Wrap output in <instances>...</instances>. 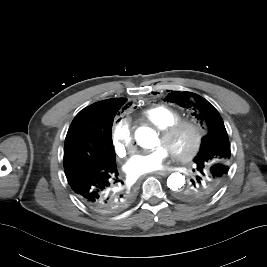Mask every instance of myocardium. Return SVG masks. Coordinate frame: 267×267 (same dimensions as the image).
I'll return each instance as SVG.
<instances>
[{"instance_id": "f54148a6", "label": "myocardium", "mask_w": 267, "mask_h": 267, "mask_svg": "<svg viewBox=\"0 0 267 267\" xmlns=\"http://www.w3.org/2000/svg\"><path fill=\"white\" fill-rule=\"evenodd\" d=\"M189 128L193 132L192 143L185 152L171 149L170 153L178 160L186 162L191 160L200 150L204 132L202 128L193 120L190 119H178L171 124L160 129V137L163 141H166L173 137L182 128Z\"/></svg>"}]
</instances>
